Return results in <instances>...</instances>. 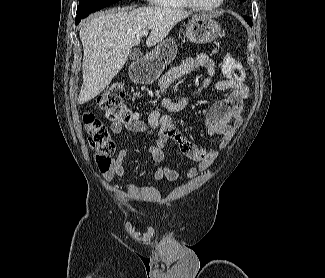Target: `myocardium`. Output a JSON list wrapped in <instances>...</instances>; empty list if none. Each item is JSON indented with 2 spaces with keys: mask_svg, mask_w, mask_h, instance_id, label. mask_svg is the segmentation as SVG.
Returning a JSON list of instances; mask_svg holds the SVG:
<instances>
[{
  "mask_svg": "<svg viewBox=\"0 0 325 278\" xmlns=\"http://www.w3.org/2000/svg\"><path fill=\"white\" fill-rule=\"evenodd\" d=\"M225 0H219L215 4L212 5H203L198 3L196 0H186V2L193 8L199 9V10H205V11H210L217 9L222 6Z\"/></svg>",
  "mask_w": 325,
  "mask_h": 278,
  "instance_id": "1",
  "label": "myocardium"
}]
</instances>
